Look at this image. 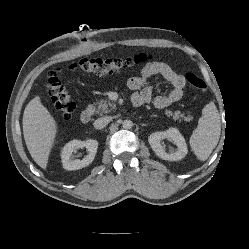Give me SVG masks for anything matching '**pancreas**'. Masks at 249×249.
<instances>
[{"label": "pancreas", "instance_id": "pancreas-1", "mask_svg": "<svg viewBox=\"0 0 249 249\" xmlns=\"http://www.w3.org/2000/svg\"><path fill=\"white\" fill-rule=\"evenodd\" d=\"M116 109V105L107 99H102L100 102L96 103L94 106L95 113L98 115H103L111 112ZM165 114L173 119H183L185 121L192 120V116H186L184 113L180 111H175L174 113L171 110H166Z\"/></svg>", "mask_w": 249, "mask_h": 249}]
</instances>
